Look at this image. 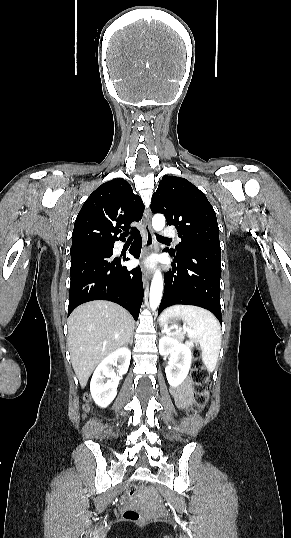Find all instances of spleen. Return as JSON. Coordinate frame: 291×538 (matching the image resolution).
<instances>
[{"label": "spleen", "mask_w": 291, "mask_h": 538, "mask_svg": "<svg viewBox=\"0 0 291 538\" xmlns=\"http://www.w3.org/2000/svg\"><path fill=\"white\" fill-rule=\"evenodd\" d=\"M170 317L184 320L187 328L193 332L190 338L200 344L206 368L208 371H214L221 348V329L213 314L196 306L174 305L161 313V324H166Z\"/></svg>", "instance_id": "obj_1"}]
</instances>
